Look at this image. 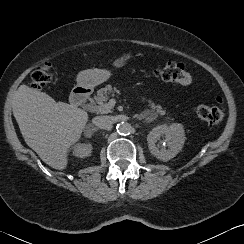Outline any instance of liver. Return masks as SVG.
Wrapping results in <instances>:
<instances>
[{
	"mask_svg": "<svg viewBox=\"0 0 244 244\" xmlns=\"http://www.w3.org/2000/svg\"><path fill=\"white\" fill-rule=\"evenodd\" d=\"M12 108L26 144L51 168L66 169L70 147L80 139L88 113L27 85L18 88Z\"/></svg>",
	"mask_w": 244,
	"mask_h": 244,
	"instance_id": "liver-1",
	"label": "liver"
}]
</instances>
